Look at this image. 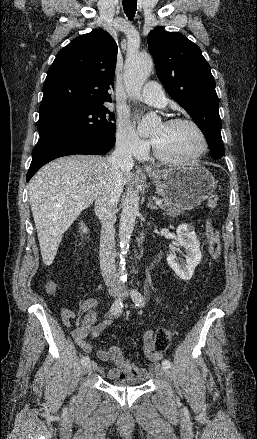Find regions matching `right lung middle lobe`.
<instances>
[{
	"label": "right lung middle lobe",
	"instance_id": "1",
	"mask_svg": "<svg viewBox=\"0 0 257 439\" xmlns=\"http://www.w3.org/2000/svg\"><path fill=\"white\" fill-rule=\"evenodd\" d=\"M115 116L106 105L75 109L39 119L40 137L51 132L70 130L98 135L115 141Z\"/></svg>",
	"mask_w": 257,
	"mask_h": 439
}]
</instances>
